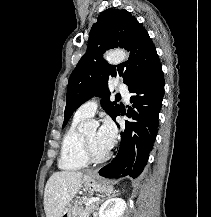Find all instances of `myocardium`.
I'll return each instance as SVG.
<instances>
[{"instance_id":"obj_1","label":"myocardium","mask_w":211,"mask_h":217,"mask_svg":"<svg viewBox=\"0 0 211 217\" xmlns=\"http://www.w3.org/2000/svg\"><path fill=\"white\" fill-rule=\"evenodd\" d=\"M82 152H83L85 159L88 161V163H102L108 160L110 157L109 151L101 155L95 154L85 134H82Z\"/></svg>"}]
</instances>
